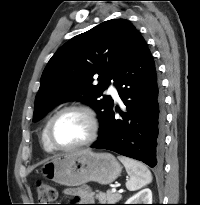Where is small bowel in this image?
Here are the masks:
<instances>
[{
  "label": "small bowel",
  "mask_w": 200,
  "mask_h": 205,
  "mask_svg": "<svg viewBox=\"0 0 200 205\" xmlns=\"http://www.w3.org/2000/svg\"><path fill=\"white\" fill-rule=\"evenodd\" d=\"M66 194L73 196L76 200H82L86 197L84 191L76 189H68L66 190Z\"/></svg>",
  "instance_id": "small-bowel-1"
}]
</instances>
